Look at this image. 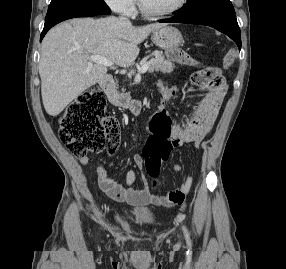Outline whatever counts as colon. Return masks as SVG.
Here are the masks:
<instances>
[{
	"mask_svg": "<svg viewBox=\"0 0 286 269\" xmlns=\"http://www.w3.org/2000/svg\"><path fill=\"white\" fill-rule=\"evenodd\" d=\"M163 59L167 62H180V66H198L193 74L189 88L205 91L207 100L203 110H220L222 100H226L227 83L217 69L203 68L205 61H197L186 54V49H162ZM107 104L104 93L99 87H91L80 95L63 112L59 119V137L68 150L78 158L90 152L107 149L110 154L120 146V125L117 119L106 114ZM171 111H147V142H143L145 166L152 177H157L160 169L165 168L163 161L169 159L176 143L172 138L170 126ZM157 186V182H153ZM186 192L182 191L179 199L184 202Z\"/></svg>",
	"mask_w": 286,
	"mask_h": 269,
	"instance_id": "colon-1",
	"label": "colon"
}]
</instances>
